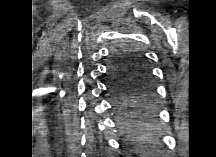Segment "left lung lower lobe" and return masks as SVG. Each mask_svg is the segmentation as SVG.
<instances>
[{
    "label": "left lung lower lobe",
    "mask_w": 216,
    "mask_h": 157,
    "mask_svg": "<svg viewBox=\"0 0 216 157\" xmlns=\"http://www.w3.org/2000/svg\"><path fill=\"white\" fill-rule=\"evenodd\" d=\"M110 72V65H109ZM111 74V72H110ZM109 89L115 97V106L121 117L120 126L122 130L126 133H132L136 131L137 126L139 125V117L134 112L133 105V86H123L115 81H113L112 76L109 82Z\"/></svg>",
    "instance_id": "left-lung-lower-lobe-1"
}]
</instances>
